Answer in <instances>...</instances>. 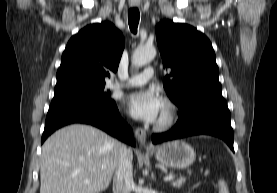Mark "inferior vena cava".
<instances>
[{"instance_id":"inferior-vena-cava-1","label":"inferior vena cava","mask_w":277,"mask_h":193,"mask_svg":"<svg viewBox=\"0 0 277 193\" xmlns=\"http://www.w3.org/2000/svg\"><path fill=\"white\" fill-rule=\"evenodd\" d=\"M132 163L130 151L125 145H120L117 164L113 178L114 193H131L133 188Z\"/></svg>"}]
</instances>
